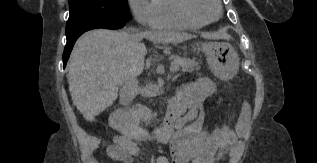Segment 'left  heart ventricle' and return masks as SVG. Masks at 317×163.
Segmentation results:
<instances>
[{
    "label": "left heart ventricle",
    "mask_w": 317,
    "mask_h": 163,
    "mask_svg": "<svg viewBox=\"0 0 317 163\" xmlns=\"http://www.w3.org/2000/svg\"><path fill=\"white\" fill-rule=\"evenodd\" d=\"M193 9L207 19L217 16V9L212 0H193Z\"/></svg>",
    "instance_id": "1"
}]
</instances>
